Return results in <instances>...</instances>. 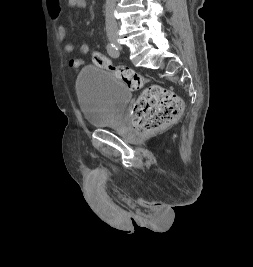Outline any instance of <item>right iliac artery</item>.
<instances>
[{"label": "right iliac artery", "mask_w": 253, "mask_h": 267, "mask_svg": "<svg viewBox=\"0 0 253 267\" xmlns=\"http://www.w3.org/2000/svg\"><path fill=\"white\" fill-rule=\"evenodd\" d=\"M107 52L112 58H118L119 57V50L113 43L107 44Z\"/></svg>", "instance_id": "1"}]
</instances>
